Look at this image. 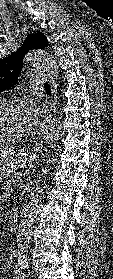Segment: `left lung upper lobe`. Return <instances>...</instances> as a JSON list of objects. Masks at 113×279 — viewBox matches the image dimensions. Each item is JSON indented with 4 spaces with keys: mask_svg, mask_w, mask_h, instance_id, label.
I'll use <instances>...</instances> for the list:
<instances>
[{
    "mask_svg": "<svg viewBox=\"0 0 113 279\" xmlns=\"http://www.w3.org/2000/svg\"><path fill=\"white\" fill-rule=\"evenodd\" d=\"M48 46L46 36L37 32L28 34L25 42L9 57L0 59V92L10 89L17 82V77L23 68V59L25 54L32 49H43Z\"/></svg>",
    "mask_w": 113,
    "mask_h": 279,
    "instance_id": "obj_1",
    "label": "left lung upper lobe"
}]
</instances>
